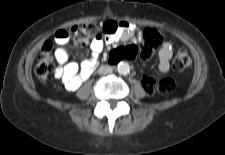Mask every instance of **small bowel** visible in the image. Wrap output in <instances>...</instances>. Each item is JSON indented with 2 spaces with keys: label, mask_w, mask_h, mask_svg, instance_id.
<instances>
[{
  "label": "small bowel",
  "mask_w": 225,
  "mask_h": 155,
  "mask_svg": "<svg viewBox=\"0 0 225 155\" xmlns=\"http://www.w3.org/2000/svg\"><path fill=\"white\" fill-rule=\"evenodd\" d=\"M102 29L104 35L98 34L91 41V57L83 60L80 65L69 60L68 52L64 47L71 42V33L64 28L57 29L53 33V42L60 46L55 52L58 63L56 77L68 90L78 89L91 76L105 44L113 43L119 37L128 39L135 32L134 25L126 21L108 20L103 23ZM172 55L173 51L170 42H163L158 52V69L161 73L165 74L169 71Z\"/></svg>",
  "instance_id": "1"
}]
</instances>
